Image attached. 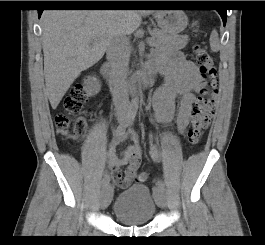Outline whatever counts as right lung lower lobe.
<instances>
[{
  "label": "right lung lower lobe",
  "instance_id": "98d812e1",
  "mask_svg": "<svg viewBox=\"0 0 265 245\" xmlns=\"http://www.w3.org/2000/svg\"><path fill=\"white\" fill-rule=\"evenodd\" d=\"M120 1H81L80 3H57L54 6H80V7H118L121 6ZM43 10H38L39 17Z\"/></svg>",
  "mask_w": 265,
  "mask_h": 245
}]
</instances>
